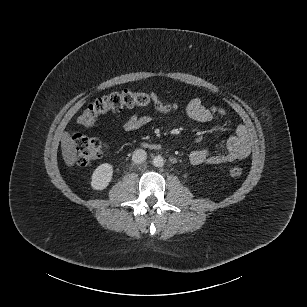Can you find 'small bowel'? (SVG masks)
Segmentation results:
<instances>
[{
    "instance_id": "1",
    "label": "small bowel",
    "mask_w": 307,
    "mask_h": 307,
    "mask_svg": "<svg viewBox=\"0 0 307 307\" xmlns=\"http://www.w3.org/2000/svg\"><path fill=\"white\" fill-rule=\"evenodd\" d=\"M152 97L158 100L155 93ZM162 114H167L169 110L158 109ZM188 116L198 122H222L227 118L226 111L215 105L205 104L201 99L194 98L187 105ZM154 120L150 114L139 115L131 113L123 123V129L131 132L139 130L149 125ZM226 151H211L209 149L193 150L189 154V161L193 165H216L223 163H233L246 158L251 150V143L248 132L243 124L234 127V133L228 138Z\"/></svg>"
}]
</instances>
